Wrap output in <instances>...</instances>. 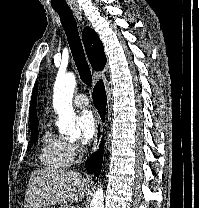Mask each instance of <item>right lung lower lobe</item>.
Returning <instances> with one entry per match:
<instances>
[{
  "label": "right lung lower lobe",
  "mask_w": 199,
  "mask_h": 208,
  "mask_svg": "<svg viewBox=\"0 0 199 208\" xmlns=\"http://www.w3.org/2000/svg\"><path fill=\"white\" fill-rule=\"evenodd\" d=\"M93 102L98 109L102 120L105 118L106 111V92L102 81H99L93 90ZM100 148L96 154L85 162V167L89 173L99 176L103 160V140L101 141Z\"/></svg>",
  "instance_id": "right-lung-lower-lobe-1"
}]
</instances>
